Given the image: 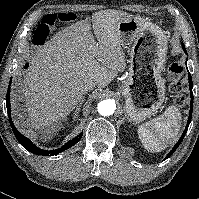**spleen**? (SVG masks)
<instances>
[{"instance_id":"1","label":"spleen","mask_w":199,"mask_h":199,"mask_svg":"<svg viewBox=\"0 0 199 199\" xmlns=\"http://www.w3.org/2000/svg\"><path fill=\"white\" fill-rule=\"evenodd\" d=\"M181 113L175 106L138 127V136L144 148L150 152H161L172 145L181 128Z\"/></svg>"}]
</instances>
